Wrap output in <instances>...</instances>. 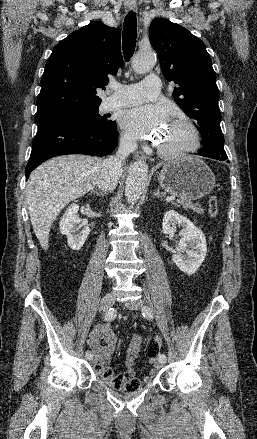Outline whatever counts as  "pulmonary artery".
<instances>
[{"label": "pulmonary artery", "instance_id": "obj_1", "mask_svg": "<svg viewBox=\"0 0 257 439\" xmlns=\"http://www.w3.org/2000/svg\"><path fill=\"white\" fill-rule=\"evenodd\" d=\"M113 94L106 100L109 109L130 106L156 98L160 92V79L149 75L142 82L133 85H113Z\"/></svg>", "mask_w": 257, "mask_h": 439}]
</instances>
